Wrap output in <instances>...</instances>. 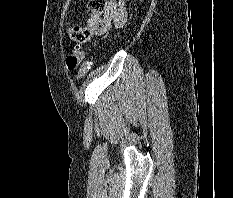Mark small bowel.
Instances as JSON below:
<instances>
[{"label": "small bowel", "mask_w": 233, "mask_h": 198, "mask_svg": "<svg viewBox=\"0 0 233 198\" xmlns=\"http://www.w3.org/2000/svg\"><path fill=\"white\" fill-rule=\"evenodd\" d=\"M126 21V12L123 7V3L117 0H111L105 11L100 18L99 23L93 29V34H102L107 32L112 25L117 27H121ZM74 55L77 56L79 61H81L84 57L82 51H75Z\"/></svg>", "instance_id": "c3829d8e"}]
</instances>
